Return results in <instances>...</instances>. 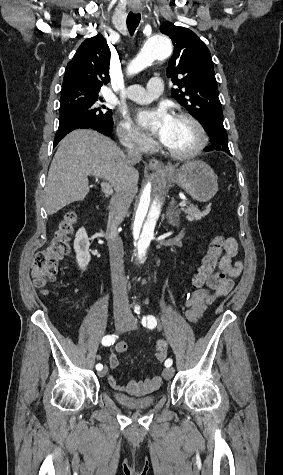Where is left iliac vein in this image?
<instances>
[{
	"label": "left iliac vein",
	"instance_id": "1",
	"mask_svg": "<svg viewBox=\"0 0 283 475\" xmlns=\"http://www.w3.org/2000/svg\"><path fill=\"white\" fill-rule=\"evenodd\" d=\"M138 327V323H137V320L135 317H133L131 314L129 315V320L128 322L126 323V325L124 326L123 328V331H127V330H132V329H137ZM173 374H174V368H165L163 371H162V375H163V378L164 380H169L173 377Z\"/></svg>",
	"mask_w": 283,
	"mask_h": 475
}]
</instances>
